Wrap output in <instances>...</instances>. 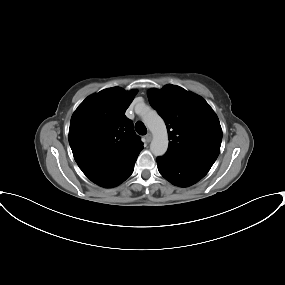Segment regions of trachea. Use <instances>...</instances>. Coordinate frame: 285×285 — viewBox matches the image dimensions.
Instances as JSON below:
<instances>
[{
  "instance_id": "1",
  "label": "trachea",
  "mask_w": 285,
  "mask_h": 285,
  "mask_svg": "<svg viewBox=\"0 0 285 285\" xmlns=\"http://www.w3.org/2000/svg\"><path fill=\"white\" fill-rule=\"evenodd\" d=\"M135 130L140 135H145L147 133L145 125L140 121L135 124Z\"/></svg>"
}]
</instances>
